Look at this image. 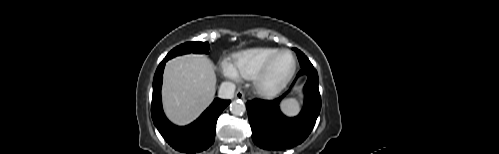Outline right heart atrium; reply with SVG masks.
Returning a JSON list of instances; mask_svg holds the SVG:
<instances>
[{
  "instance_id": "1",
  "label": "right heart atrium",
  "mask_w": 499,
  "mask_h": 154,
  "mask_svg": "<svg viewBox=\"0 0 499 154\" xmlns=\"http://www.w3.org/2000/svg\"><path fill=\"white\" fill-rule=\"evenodd\" d=\"M220 68H221V72L224 76L231 78V79L238 78V75L236 74L235 70L233 69V67L229 61H223L221 63Z\"/></svg>"
}]
</instances>
